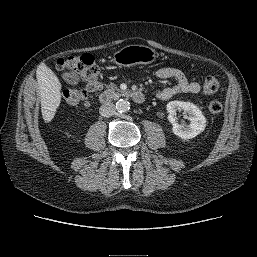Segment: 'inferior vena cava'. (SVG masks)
Wrapping results in <instances>:
<instances>
[{
	"label": "inferior vena cava",
	"mask_w": 257,
	"mask_h": 257,
	"mask_svg": "<svg viewBox=\"0 0 257 257\" xmlns=\"http://www.w3.org/2000/svg\"><path fill=\"white\" fill-rule=\"evenodd\" d=\"M99 110L103 117H110L115 114L116 107L112 102L108 101L101 105Z\"/></svg>",
	"instance_id": "obj_1"
}]
</instances>
